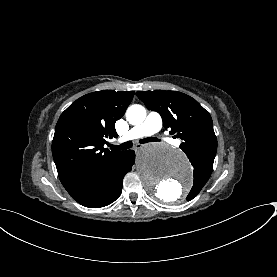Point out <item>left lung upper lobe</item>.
<instances>
[{
	"instance_id": "5c2ea615",
	"label": "left lung upper lobe",
	"mask_w": 277,
	"mask_h": 277,
	"mask_svg": "<svg viewBox=\"0 0 277 277\" xmlns=\"http://www.w3.org/2000/svg\"><path fill=\"white\" fill-rule=\"evenodd\" d=\"M146 107L157 111L165 128L183 142L180 148L194 167V184L187 196L192 200L208 181L217 151V139L210 114L192 97L177 91H139Z\"/></svg>"
}]
</instances>
